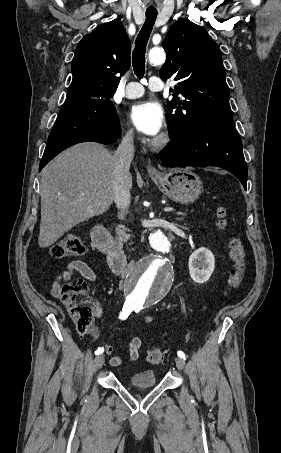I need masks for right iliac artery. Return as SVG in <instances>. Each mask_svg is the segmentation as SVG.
I'll use <instances>...</instances> for the list:
<instances>
[{
  "instance_id": "82829eb1",
  "label": "right iliac artery",
  "mask_w": 281,
  "mask_h": 453,
  "mask_svg": "<svg viewBox=\"0 0 281 453\" xmlns=\"http://www.w3.org/2000/svg\"><path fill=\"white\" fill-rule=\"evenodd\" d=\"M132 311H133L132 305L124 304L122 312L120 313L119 319L125 320ZM103 351H104L103 347L102 348L98 347V349L95 351V354L99 355V354L103 353Z\"/></svg>"
}]
</instances>
